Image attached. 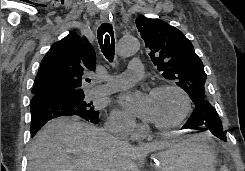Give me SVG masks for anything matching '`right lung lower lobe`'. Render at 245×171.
Masks as SVG:
<instances>
[{"label":"right lung lower lobe","instance_id":"right-lung-lower-lobe-1","mask_svg":"<svg viewBox=\"0 0 245 171\" xmlns=\"http://www.w3.org/2000/svg\"><path fill=\"white\" fill-rule=\"evenodd\" d=\"M30 110L31 136H34L49 120L60 116L77 115L95 124L99 122V114L94 116L86 115L56 96L33 97L30 103Z\"/></svg>","mask_w":245,"mask_h":171}]
</instances>
